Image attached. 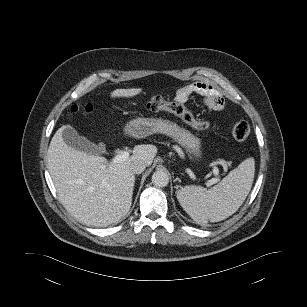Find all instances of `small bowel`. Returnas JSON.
<instances>
[{
	"instance_id": "1",
	"label": "small bowel",
	"mask_w": 307,
	"mask_h": 307,
	"mask_svg": "<svg viewBox=\"0 0 307 307\" xmlns=\"http://www.w3.org/2000/svg\"><path fill=\"white\" fill-rule=\"evenodd\" d=\"M193 94L203 96L205 104L213 110H221L225 106V100L219 91L205 82H194L180 88L175 99L177 102L185 104Z\"/></svg>"
}]
</instances>
